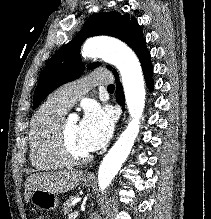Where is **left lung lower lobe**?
I'll use <instances>...</instances> for the list:
<instances>
[{
  "mask_svg": "<svg viewBox=\"0 0 211 219\" xmlns=\"http://www.w3.org/2000/svg\"><path fill=\"white\" fill-rule=\"evenodd\" d=\"M135 53L137 54V56L141 62L148 88L150 90H152L153 89V80H152L153 69H152V65L150 63V53L148 52V49L146 47L145 39L140 43L138 48L135 50ZM113 74L116 78V101L124 107L125 100H124L122 85L119 82L117 72L113 71Z\"/></svg>",
  "mask_w": 211,
  "mask_h": 219,
  "instance_id": "left-lung-lower-lobe-1",
  "label": "left lung lower lobe"
}]
</instances>
